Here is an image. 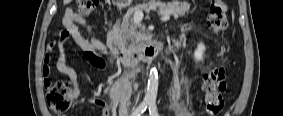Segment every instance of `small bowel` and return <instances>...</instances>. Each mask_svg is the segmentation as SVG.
Returning <instances> with one entry per match:
<instances>
[{
  "label": "small bowel",
  "instance_id": "c3829d8e",
  "mask_svg": "<svg viewBox=\"0 0 283 116\" xmlns=\"http://www.w3.org/2000/svg\"><path fill=\"white\" fill-rule=\"evenodd\" d=\"M62 22H63L64 30L60 35L59 45H61L68 37H71L76 43V45L84 51L85 58L89 62H91L94 65L103 67L102 59L99 56H97L95 53L98 51L100 52L105 51L106 47L100 40H98L95 37L86 19L83 16L75 13L71 8H67L65 10ZM80 28H83L88 33L90 40H87L84 37ZM182 42L183 41L181 39L175 41L173 43L172 49L178 48L182 44ZM55 47L56 44L54 42L50 43L48 46V50L52 51L55 49ZM51 61L52 59L50 54H47L45 56V63H46V66L44 67L45 75H47L50 71L49 65ZM55 67L61 74L65 75L69 79V82L72 85L73 92L75 96L78 97L80 94L78 75L76 71L71 66L68 65L65 55L62 53L61 47H60V53L55 61ZM119 101L120 99H117L116 103L118 104ZM93 102H95L96 104L102 107L101 116H110L113 114L115 110V106L108 104L104 100L94 99ZM120 115L122 116L127 115V108L125 103L121 104Z\"/></svg>",
  "mask_w": 283,
  "mask_h": 116
}]
</instances>
